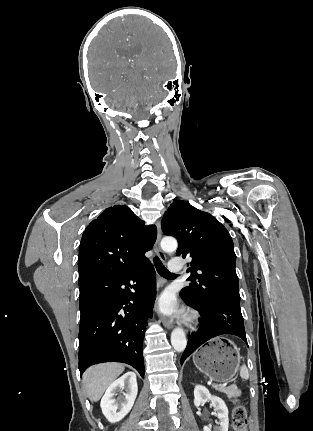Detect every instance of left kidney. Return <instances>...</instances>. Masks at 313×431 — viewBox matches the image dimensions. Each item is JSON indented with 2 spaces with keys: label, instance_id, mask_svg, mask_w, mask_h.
Masks as SVG:
<instances>
[{
  "label": "left kidney",
  "instance_id": "1",
  "mask_svg": "<svg viewBox=\"0 0 313 431\" xmlns=\"http://www.w3.org/2000/svg\"><path fill=\"white\" fill-rule=\"evenodd\" d=\"M210 400L217 411V417L220 420V426L218 431H228L229 418H228V408L225 402L217 397L212 396L207 388L201 385H197L194 389V405L199 407L206 401ZM204 431H211L208 426H204Z\"/></svg>",
  "mask_w": 313,
  "mask_h": 431
}]
</instances>
